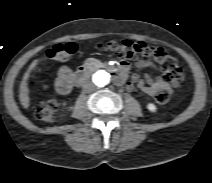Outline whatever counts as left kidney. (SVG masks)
<instances>
[{"mask_svg": "<svg viewBox=\"0 0 212 183\" xmlns=\"http://www.w3.org/2000/svg\"><path fill=\"white\" fill-rule=\"evenodd\" d=\"M147 109L152 112V113H155L157 111V107L155 106V104L153 103H148L147 104Z\"/></svg>", "mask_w": 212, "mask_h": 183, "instance_id": "left-kidney-1", "label": "left kidney"}]
</instances>
